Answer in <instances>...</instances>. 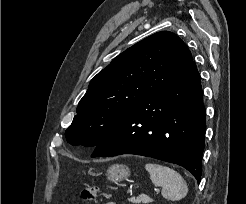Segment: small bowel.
Instances as JSON below:
<instances>
[{"instance_id":"1","label":"small bowel","mask_w":246,"mask_h":204,"mask_svg":"<svg viewBox=\"0 0 246 204\" xmlns=\"http://www.w3.org/2000/svg\"><path fill=\"white\" fill-rule=\"evenodd\" d=\"M105 204H115L114 202H107V203H105Z\"/></svg>"}]
</instances>
